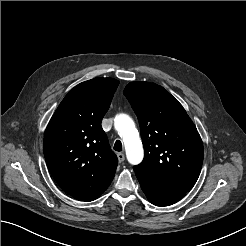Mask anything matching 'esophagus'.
Instances as JSON below:
<instances>
[{
  "label": "esophagus",
  "mask_w": 246,
  "mask_h": 246,
  "mask_svg": "<svg viewBox=\"0 0 246 246\" xmlns=\"http://www.w3.org/2000/svg\"><path fill=\"white\" fill-rule=\"evenodd\" d=\"M117 157L119 162H123L125 160V155L122 152L117 153Z\"/></svg>",
  "instance_id": "esophagus-1"
}]
</instances>
